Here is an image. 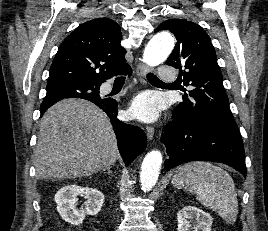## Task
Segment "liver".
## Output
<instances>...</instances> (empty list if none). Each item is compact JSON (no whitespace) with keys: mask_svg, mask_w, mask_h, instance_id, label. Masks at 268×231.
<instances>
[{"mask_svg":"<svg viewBox=\"0 0 268 231\" xmlns=\"http://www.w3.org/2000/svg\"><path fill=\"white\" fill-rule=\"evenodd\" d=\"M118 158L110 120L95 104L66 99L43 115L33 161L37 179L90 176Z\"/></svg>","mask_w":268,"mask_h":231,"instance_id":"6515ba94","label":"liver"}]
</instances>
